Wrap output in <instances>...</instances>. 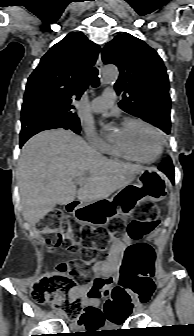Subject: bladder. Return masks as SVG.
I'll use <instances>...</instances> for the list:
<instances>
[{
	"instance_id": "31cf9c89",
	"label": "bladder",
	"mask_w": 194,
	"mask_h": 336,
	"mask_svg": "<svg viewBox=\"0 0 194 336\" xmlns=\"http://www.w3.org/2000/svg\"><path fill=\"white\" fill-rule=\"evenodd\" d=\"M86 327V324L82 323V324H75L73 329H76V330H81V329H84Z\"/></svg>"
}]
</instances>
